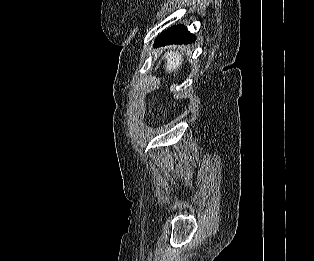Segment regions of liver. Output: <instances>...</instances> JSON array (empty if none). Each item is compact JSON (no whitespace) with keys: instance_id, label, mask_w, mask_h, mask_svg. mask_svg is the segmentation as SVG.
I'll use <instances>...</instances> for the list:
<instances>
[{"instance_id":"liver-1","label":"liver","mask_w":314,"mask_h":261,"mask_svg":"<svg viewBox=\"0 0 314 261\" xmlns=\"http://www.w3.org/2000/svg\"><path fill=\"white\" fill-rule=\"evenodd\" d=\"M164 58L166 59L164 67L168 73L178 70L182 65L183 58L178 52H167L164 54Z\"/></svg>"}]
</instances>
